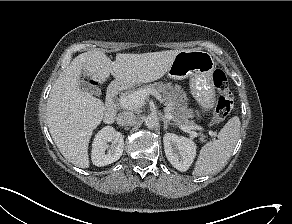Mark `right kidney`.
<instances>
[{
  "label": "right kidney",
  "instance_id": "right-kidney-1",
  "mask_svg": "<svg viewBox=\"0 0 292 224\" xmlns=\"http://www.w3.org/2000/svg\"><path fill=\"white\" fill-rule=\"evenodd\" d=\"M107 142H112L114 147L109 149ZM124 149V137L113 127L106 126L101 129L95 136L92 143L91 160L95 166L102 167L116 162L120 159Z\"/></svg>",
  "mask_w": 292,
  "mask_h": 224
}]
</instances>
